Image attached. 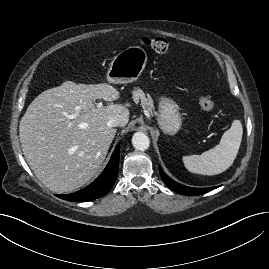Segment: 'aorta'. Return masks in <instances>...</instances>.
I'll list each match as a JSON object with an SVG mask.
<instances>
[{"label": "aorta", "instance_id": "1", "mask_svg": "<svg viewBox=\"0 0 269 269\" xmlns=\"http://www.w3.org/2000/svg\"><path fill=\"white\" fill-rule=\"evenodd\" d=\"M132 145L136 150L144 151L149 148L150 141L143 132H136L132 137Z\"/></svg>", "mask_w": 269, "mask_h": 269}]
</instances>
